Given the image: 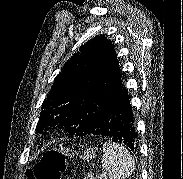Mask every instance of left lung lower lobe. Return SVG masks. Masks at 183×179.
Returning <instances> with one entry per match:
<instances>
[{
    "label": "left lung lower lobe",
    "mask_w": 183,
    "mask_h": 179,
    "mask_svg": "<svg viewBox=\"0 0 183 179\" xmlns=\"http://www.w3.org/2000/svg\"><path fill=\"white\" fill-rule=\"evenodd\" d=\"M91 134L122 142L131 150L137 149V133L134 127L132 106L122 82L114 105L103 122Z\"/></svg>",
    "instance_id": "obj_1"
}]
</instances>
